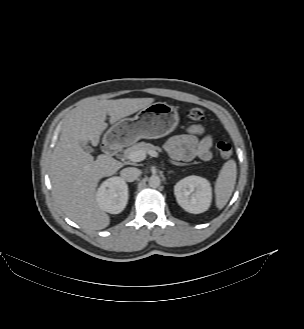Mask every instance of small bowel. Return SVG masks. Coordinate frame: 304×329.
I'll use <instances>...</instances> for the list:
<instances>
[{
	"label": "small bowel",
	"mask_w": 304,
	"mask_h": 329,
	"mask_svg": "<svg viewBox=\"0 0 304 329\" xmlns=\"http://www.w3.org/2000/svg\"><path fill=\"white\" fill-rule=\"evenodd\" d=\"M200 124L190 126L184 133L171 138L166 149L174 161L189 162L195 158L210 161L212 154V137L204 135Z\"/></svg>",
	"instance_id": "small-bowel-1"
}]
</instances>
